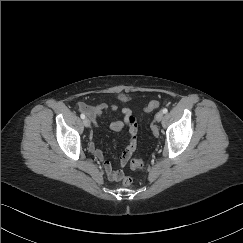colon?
<instances>
[{
  "mask_svg": "<svg viewBox=\"0 0 243 243\" xmlns=\"http://www.w3.org/2000/svg\"><path fill=\"white\" fill-rule=\"evenodd\" d=\"M160 106L159 101L157 100H152L150 101L147 106H146V110L147 111H151L154 110L156 108H158ZM143 167V161L141 159H133L130 162V168L132 170H137ZM121 183L123 186H130L132 183V179L129 176H125L121 179Z\"/></svg>",
  "mask_w": 243,
  "mask_h": 243,
  "instance_id": "1",
  "label": "colon"
}]
</instances>
